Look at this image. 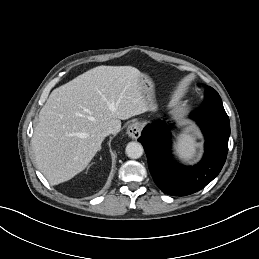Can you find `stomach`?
Masks as SVG:
<instances>
[{"label":"stomach","mask_w":259,"mask_h":259,"mask_svg":"<svg viewBox=\"0 0 259 259\" xmlns=\"http://www.w3.org/2000/svg\"><path fill=\"white\" fill-rule=\"evenodd\" d=\"M138 85L147 104V111L156 112L158 106L155 100V88L153 81L146 75H142Z\"/></svg>","instance_id":"0dacf381"}]
</instances>
